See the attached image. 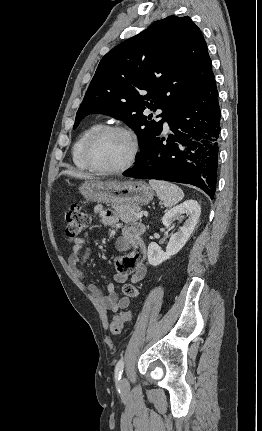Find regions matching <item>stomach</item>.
Segmentation results:
<instances>
[{
  "instance_id": "obj_1",
  "label": "stomach",
  "mask_w": 262,
  "mask_h": 431,
  "mask_svg": "<svg viewBox=\"0 0 262 431\" xmlns=\"http://www.w3.org/2000/svg\"><path fill=\"white\" fill-rule=\"evenodd\" d=\"M88 201L110 205L142 206L152 201L153 189L144 181H101L89 179L79 188Z\"/></svg>"
}]
</instances>
